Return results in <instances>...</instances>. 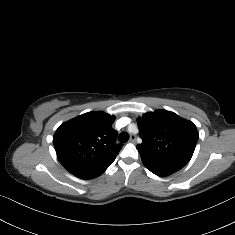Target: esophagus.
Wrapping results in <instances>:
<instances>
[{
  "label": "esophagus",
  "mask_w": 235,
  "mask_h": 235,
  "mask_svg": "<svg viewBox=\"0 0 235 235\" xmlns=\"http://www.w3.org/2000/svg\"><path fill=\"white\" fill-rule=\"evenodd\" d=\"M136 141V136L134 134H131L130 135V139H129V142H135Z\"/></svg>",
  "instance_id": "obj_1"
}]
</instances>
